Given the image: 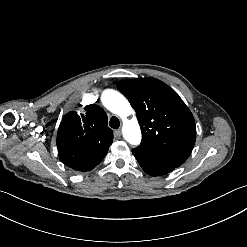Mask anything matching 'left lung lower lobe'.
<instances>
[{
    "label": "left lung lower lobe",
    "mask_w": 247,
    "mask_h": 247,
    "mask_svg": "<svg viewBox=\"0 0 247 247\" xmlns=\"http://www.w3.org/2000/svg\"><path fill=\"white\" fill-rule=\"evenodd\" d=\"M132 152L142 169L149 175L162 176L176 168V166L154 158L148 153L138 150L137 148L132 149Z\"/></svg>",
    "instance_id": "1"
}]
</instances>
